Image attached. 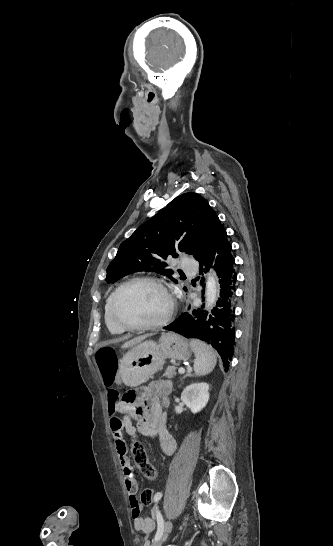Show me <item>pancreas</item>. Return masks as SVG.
I'll list each match as a JSON object with an SVG mask.
<instances>
[{"label":"pancreas","mask_w":333,"mask_h":546,"mask_svg":"<svg viewBox=\"0 0 333 546\" xmlns=\"http://www.w3.org/2000/svg\"><path fill=\"white\" fill-rule=\"evenodd\" d=\"M177 366V364L169 365L164 373V376H166L167 378H173L174 376H176Z\"/></svg>","instance_id":"pancreas-1"}]
</instances>
